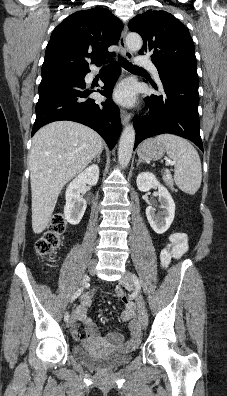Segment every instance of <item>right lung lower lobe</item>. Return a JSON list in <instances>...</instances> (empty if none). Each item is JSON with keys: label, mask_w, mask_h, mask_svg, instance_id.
Here are the masks:
<instances>
[{"label": "right lung lower lobe", "mask_w": 227, "mask_h": 396, "mask_svg": "<svg viewBox=\"0 0 227 396\" xmlns=\"http://www.w3.org/2000/svg\"><path fill=\"white\" fill-rule=\"evenodd\" d=\"M88 72L89 68L81 71L80 75L57 74L42 78L32 136L45 124L70 120L94 129L113 149L120 135L121 121L119 108L112 101L111 94L121 68L117 63L111 64L102 78L104 90L99 92L107 100L100 104L88 98L92 93L86 89L84 81Z\"/></svg>", "instance_id": "98d812e1"}]
</instances>
